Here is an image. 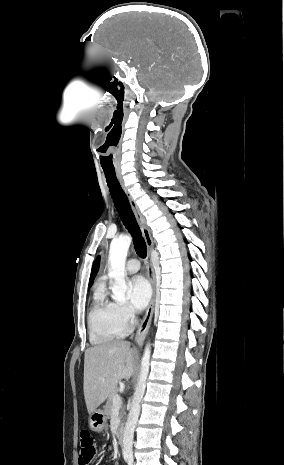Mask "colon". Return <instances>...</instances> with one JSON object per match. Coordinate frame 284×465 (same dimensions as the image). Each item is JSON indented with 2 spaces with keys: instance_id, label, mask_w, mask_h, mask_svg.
I'll use <instances>...</instances> for the list:
<instances>
[{
  "instance_id": "5ec220e1",
  "label": "colon",
  "mask_w": 284,
  "mask_h": 465,
  "mask_svg": "<svg viewBox=\"0 0 284 465\" xmlns=\"http://www.w3.org/2000/svg\"><path fill=\"white\" fill-rule=\"evenodd\" d=\"M94 455V438L90 432L82 430L80 432L79 464L88 465L93 459Z\"/></svg>"
}]
</instances>
